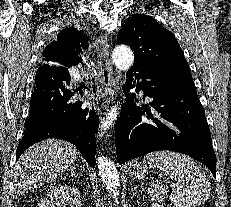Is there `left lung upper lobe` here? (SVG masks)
Instances as JSON below:
<instances>
[{
    "label": "left lung upper lobe",
    "instance_id": "obj_1",
    "mask_svg": "<svg viewBox=\"0 0 231 207\" xmlns=\"http://www.w3.org/2000/svg\"><path fill=\"white\" fill-rule=\"evenodd\" d=\"M117 41L129 45L134 65L147 64L167 72L179 83L193 81L189 65L174 35L144 14L133 15L121 28Z\"/></svg>",
    "mask_w": 231,
    "mask_h": 207
}]
</instances>
